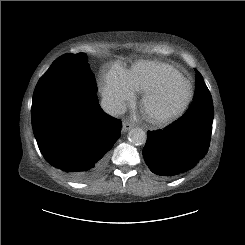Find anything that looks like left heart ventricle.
I'll return each mask as SVG.
<instances>
[{
    "instance_id": "1",
    "label": "left heart ventricle",
    "mask_w": 245,
    "mask_h": 245,
    "mask_svg": "<svg viewBox=\"0 0 245 245\" xmlns=\"http://www.w3.org/2000/svg\"><path fill=\"white\" fill-rule=\"evenodd\" d=\"M188 94V85L177 78L170 87H168L158 98L149 106L153 111L166 112L180 106Z\"/></svg>"
}]
</instances>
